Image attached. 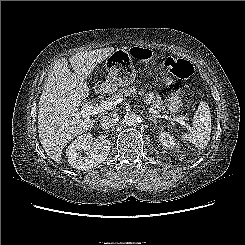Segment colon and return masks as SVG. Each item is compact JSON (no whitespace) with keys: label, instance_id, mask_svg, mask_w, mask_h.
Wrapping results in <instances>:
<instances>
[{"label":"colon","instance_id":"colon-1","mask_svg":"<svg viewBox=\"0 0 245 245\" xmlns=\"http://www.w3.org/2000/svg\"><path fill=\"white\" fill-rule=\"evenodd\" d=\"M131 54L141 59H147L150 56V52L143 49H132ZM162 64L167 70L182 80L191 77L194 71L192 64L184 59L167 56L163 58ZM178 90L179 86L176 83H171L166 87L168 93H176Z\"/></svg>","mask_w":245,"mask_h":245}]
</instances>
